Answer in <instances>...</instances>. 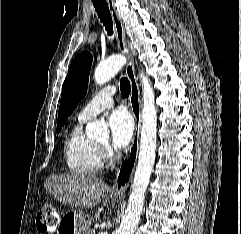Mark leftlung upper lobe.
I'll return each mask as SVG.
<instances>
[{"mask_svg": "<svg viewBox=\"0 0 241 234\" xmlns=\"http://www.w3.org/2000/svg\"><path fill=\"white\" fill-rule=\"evenodd\" d=\"M91 64L92 55L88 52L79 54L71 63L63 84L58 113L57 133L60 132L68 116L87 92Z\"/></svg>", "mask_w": 241, "mask_h": 234, "instance_id": "left-lung-upper-lobe-1", "label": "left lung upper lobe"}]
</instances>
